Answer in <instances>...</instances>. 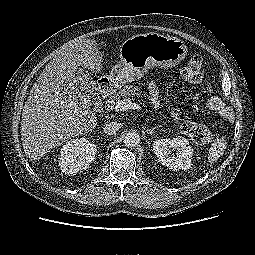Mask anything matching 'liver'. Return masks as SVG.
<instances>
[{
    "label": "liver",
    "mask_w": 255,
    "mask_h": 255,
    "mask_svg": "<svg viewBox=\"0 0 255 255\" xmlns=\"http://www.w3.org/2000/svg\"><path fill=\"white\" fill-rule=\"evenodd\" d=\"M96 47L94 39L68 42L33 85L21 118L22 145L30 160L95 128L97 117L90 100L76 89L74 72L80 66L101 72L102 55Z\"/></svg>",
    "instance_id": "liver-1"
}]
</instances>
